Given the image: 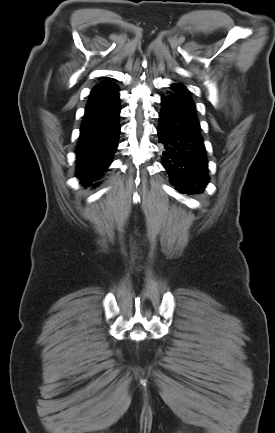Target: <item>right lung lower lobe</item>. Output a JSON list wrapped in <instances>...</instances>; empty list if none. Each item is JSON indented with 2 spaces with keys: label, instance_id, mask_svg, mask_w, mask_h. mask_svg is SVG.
<instances>
[{
  "label": "right lung lower lobe",
  "instance_id": "1",
  "mask_svg": "<svg viewBox=\"0 0 275 433\" xmlns=\"http://www.w3.org/2000/svg\"><path fill=\"white\" fill-rule=\"evenodd\" d=\"M119 112V90L112 83L91 91L76 149L77 176L85 185L98 180L111 163L118 147Z\"/></svg>",
  "mask_w": 275,
  "mask_h": 433
}]
</instances>
